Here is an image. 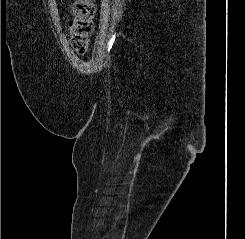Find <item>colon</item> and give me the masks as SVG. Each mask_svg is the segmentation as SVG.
I'll return each instance as SVG.
<instances>
[{
    "label": "colon",
    "instance_id": "colon-1",
    "mask_svg": "<svg viewBox=\"0 0 245 239\" xmlns=\"http://www.w3.org/2000/svg\"><path fill=\"white\" fill-rule=\"evenodd\" d=\"M70 11V43L76 52L85 54L94 28L96 5L93 0H73Z\"/></svg>",
    "mask_w": 245,
    "mask_h": 239
}]
</instances>
